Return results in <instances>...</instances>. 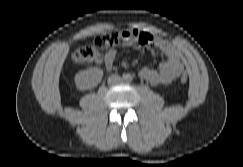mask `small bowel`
I'll list each match as a JSON object with an SVG mask.
<instances>
[{"label": "small bowel", "instance_id": "c3829d8e", "mask_svg": "<svg viewBox=\"0 0 243 167\" xmlns=\"http://www.w3.org/2000/svg\"><path fill=\"white\" fill-rule=\"evenodd\" d=\"M128 38L122 43L124 48L139 47L146 50H159L166 59L157 69L144 67L140 70V76L151 85H169L184 71V65L178 49L166 39L155 36L139 29L126 31ZM116 58V50L110 48L104 52V65L107 70L113 68Z\"/></svg>", "mask_w": 243, "mask_h": 167}]
</instances>
